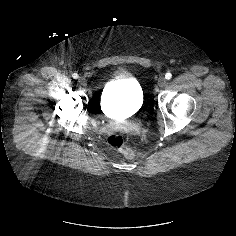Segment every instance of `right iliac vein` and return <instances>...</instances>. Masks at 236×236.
Returning <instances> with one entry per match:
<instances>
[{
    "label": "right iliac vein",
    "instance_id": "obj_1",
    "mask_svg": "<svg viewBox=\"0 0 236 236\" xmlns=\"http://www.w3.org/2000/svg\"><path fill=\"white\" fill-rule=\"evenodd\" d=\"M78 81H79V83L81 84V85H83V86H85L86 85V80L83 78V77H80L79 79H78Z\"/></svg>",
    "mask_w": 236,
    "mask_h": 236
}]
</instances>
